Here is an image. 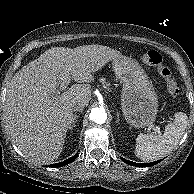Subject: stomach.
<instances>
[{"instance_id":"0dacf381","label":"stomach","mask_w":194,"mask_h":194,"mask_svg":"<svg viewBox=\"0 0 194 194\" xmlns=\"http://www.w3.org/2000/svg\"><path fill=\"white\" fill-rule=\"evenodd\" d=\"M113 70L123 84L121 110L126 122L136 129L153 127L158 113V96L144 69L122 56L113 60Z\"/></svg>"}]
</instances>
